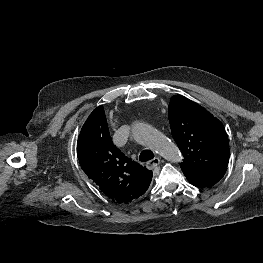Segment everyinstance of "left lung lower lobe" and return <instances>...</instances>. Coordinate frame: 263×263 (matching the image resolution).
<instances>
[{"instance_id": "1", "label": "left lung lower lobe", "mask_w": 263, "mask_h": 263, "mask_svg": "<svg viewBox=\"0 0 263 263\" xmlns=\"http://www.w3.org/2000/svg\"><path fill=\"white\" fill-rule=\"evenodd\" d=\"M183 173L187 180L198 188H206L215 185L225 174L218 171L195 170H185Z\"/></svg>"}]
</instances>
